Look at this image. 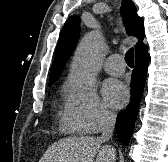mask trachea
<instances>
[{"instance_id":"1","label":"trachea","mask_w":168,"mask_h":162,"mask_svg":"<svg viewBox=\"0 0 168 162\" xmlns=\"http://www.w3.org/2000/svg\"><path fill=\"white\" fill-rule=\"evenodd\" d=\"M125 60L130 67H133V65H134V50H133V48H131L129 51L126 52Z\"/></svg>"}]
</instances>
